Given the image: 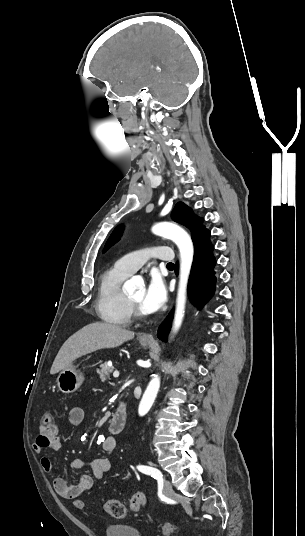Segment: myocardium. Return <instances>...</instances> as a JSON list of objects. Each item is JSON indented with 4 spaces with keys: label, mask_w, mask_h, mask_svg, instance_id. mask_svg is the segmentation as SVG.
Returning <instances> with one entry per match:
<instances>
[{
    "label": "myocardium",
    "mask_w": 305,
    "mask_h": 536,
    "mask_svg": "<svg viewBox=\"0 0 305 536\" xmlns=\"http://www.w3.org/2000/svg\"><path fill=\"white\" fill-rule=\"evenodd\" d=\"M126 300H127V303L131 309V311L138 317H144L146 316V313L143 311V309L138 305L136 304L135 302H133L129 296L126 295Z\"/></svg>",
    "instance_id": "1"
}]
</instances>
